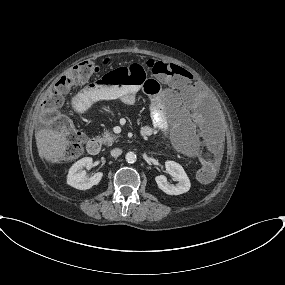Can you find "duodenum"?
<instances>
[{
    "mask_svg": "<svg viewBox=\"0 0 285 285\" xmlns=\"http://www.w3.org/2000/svg\"><path fill=\"white\" fill-rule=\"evenodd\" d=\"M102 141L98 137H93L87 144V150L90 154L96 155L101 151Z\"/></svg>",
    "mask_w": 285,
    "mask_h": 285,
    "instance_id": "1",
    "label": "duodenum"
}]
</instances>
